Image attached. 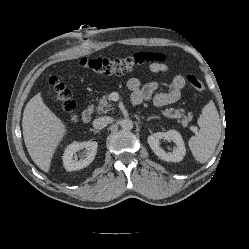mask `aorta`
Instances as JSON below:
<instances>
[{
    "instance_id": "aorta-1",
    "label": "aorta",
    "mask_w": 249,
    "mask_h": 249,
    "mask_svg": "<svg viewBox=\"0 0 249 249\" xmlns=\"http://www.w3.org/2000/svg\"><path fill=\"white\" fill-rule=\"evenodd\" d=\"M120 125L124 130H131L133 128V121L131 119H124Z\"/></svg>"
}]
</instances>
